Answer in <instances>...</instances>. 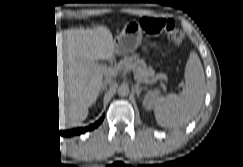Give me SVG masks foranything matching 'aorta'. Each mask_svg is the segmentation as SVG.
<instances>
[{"instance_id": "aorta-1", "label": "aorta", "mask_w": 243, "mask_h": 167, "mask_svg": "<svg viewBox=\"0 0 243 167\" xmlns=\"http://www.w3.org/2000/svg\"><path fill=\"white\" fill-rule=\"evenodd\" d=\"M117 93L119 96H127L129 94V87L126 84H122L118 87Z\"/></svg>"}]
</instances>
